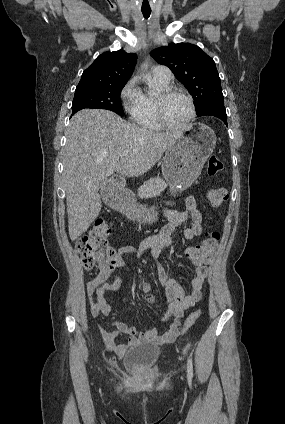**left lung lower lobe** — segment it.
I'll return each instance as SVG.
<instances>
[{
	"mask_svg": "<svg viewBox=\"0 0 285 424\" xmlns=\"http://www.w3.org/2000/svg\"><path fill=\"white\" fill-rule=\"evenodd\" d=\"M200 116H215L227 125V114L223 101H216L208 104L203 110L197 113V117Z\"/></svg>",
	"mask_w": 285,
	"mask_h": 424,
	"instance_id": "obj_1",
	"label": "left lung lower lobe"
}]
</instances>
